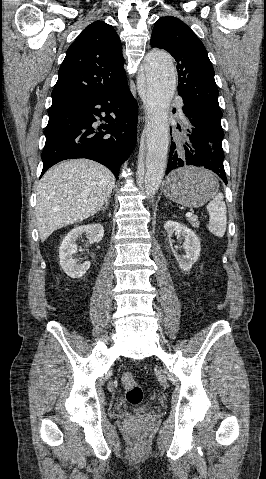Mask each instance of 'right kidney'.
Masks as SVG:
<instances>
[{"label":"right kidney","mask_w":266,"mask_h":479,"mask_svg":"<svg viewBox=\"0 0 266 479\" xmlns=\"http://www.w3.org/2000/svg\"><path fill=\"white\" fill-rule=\"evenodd\" d=\"M86 234L91 243H99L104 236V228L101 224L82 225L72 229L63 239L59 248V263L64 272L71 278L82 277L89 269V261L78 263L73 258L77 251L76 240Z\"/></svg>","instance_id":"ca27d5eb"}]
</instances>
